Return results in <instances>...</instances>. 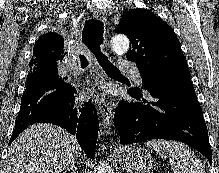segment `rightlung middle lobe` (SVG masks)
Returning <instances> with one entry per match:
<instances>
[{"instance_id":"right-lung-middle-lobe-1","label":"right lung middle lobe","mask_w":219,"mask_h":173,"mask_svg":"<svg viewBox=\"0 0 219 173\" xmlns=\"http://www.w3.org/2000/svg\"><path fill=\"white\" fill-rule=\"evenodd\" d=\"M59 64L58 63H48V64H42V65H36V66H30V74L33 73H44L49 72L52 74L57 75L58 77L64 79L58 69Z\"/></svg>"}]
</instances>
